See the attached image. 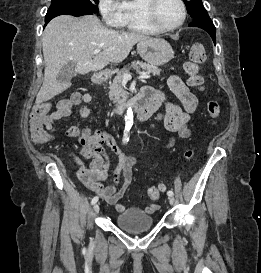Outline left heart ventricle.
Returning a JSON list of instances; mask_svg holds the SVG:
<instances>
[{
  "instance_id": "b2bd125f",
  "label": "left heart ventricle",
  "mask_w": 261,
  "mask_h": 273,
  "mask_svg": "<svg viewBox=\"0 0 261 273\" xmlns=\"http://www.w3.org/2000/svg\"><path fill=\"white\" fill-rule=\"evenodd\" d=\"M156 17L158 22L164 27L176 25L182 17V11L177 0H160Z\"/></svg>"
}]
</instances>
